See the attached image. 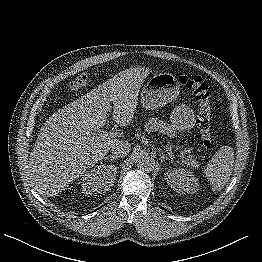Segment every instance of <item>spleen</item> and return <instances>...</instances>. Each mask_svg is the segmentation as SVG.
<instances>
[{"mask_svg":"<svg viewBox=\"0 0 262 262\" xmlns=\"http://www.w3.org/2000/svg\"><path fill=\"white\" fill-rule=\"evenodd\" d=\"M234 164V151L222 146L203 170L213 190H221L228 182Z\"/></svg>","mask_w":262,"mask_h":262,"instance_id":"obj_1","label":"spleen"}]
</instances>
